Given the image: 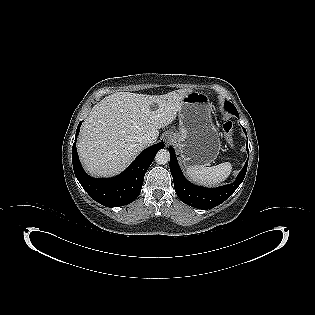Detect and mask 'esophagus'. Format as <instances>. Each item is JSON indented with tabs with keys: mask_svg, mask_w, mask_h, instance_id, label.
I'll return each instance as SVG.
<instances>
[{
	"mask_svg": "<svg viewBox=\"0 0 315 315\" xmlns=\"http://www.w3.org/2000/svg\"><path fill=\"white\" fill-rule=\"evenodd\" d=\"M164 141L166 143V145H170L173 142V137L171 134H166L164 136Z\"/></svg>",
	"mask_w": 315,
	"mask_h": 315,
	"instance_id": "esophagus-1",
	"label": "esophagus"
}]
</instances>
